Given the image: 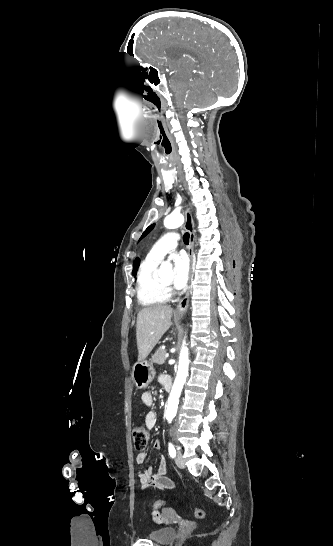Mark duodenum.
Returning <instances> with one entry per match:
<instances>
[{
    "label": "duodenum",
    "mask_w": 333,
    "mask_h": 546,
    "mask_svg": "<svg viewBox=\"0 0 333 546\" xmlns=\"http://www.w3.org/2000/svg\"><path fill=\"white\" fill-rule=\"evenodd\" d=\"M163 386H164V388H165L166 390H168V391L171 390L172 381H171L170 377H167V379H166V381H165V383H164Z\"/></svg>",
    "instance_id": "obj_1"
}]
</instances>
